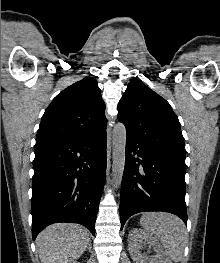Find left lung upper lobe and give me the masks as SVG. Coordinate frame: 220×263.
<instances>
[{
    "mask_svg": "<svg viewBox=\"0 0 220 263\" xmlns=\"http://www.w3.org/2000/svg\"><path fill=\"white\" fill-rule=\"evenodd\" d=\"M126 135L185 161L178 117L170 104L140 80H132L118 104Z\"/></svg>",
    "mask_w": 220,
    "mask_h": 263,
    "instance_id": "left-lung-upper-lobe-1",
    "label": "left lung upper lobe"
}]
</instances>
